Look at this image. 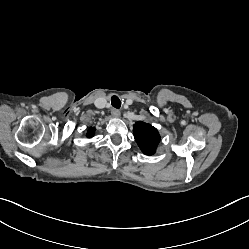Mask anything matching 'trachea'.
Here are the masks:
<instances>
[{
	"label": "trachea",
	"instance_id": "3493384b",
	"mask_svg": "<svg viewBox=\"0 0 249 249\" xmlns=\"http://www.w3.org/2000/svg\"><path fill=\"white\" fill-rule=\"evenodd\" d=\"M111 104H112L113 107L119 109L120 106H121V101L117 96H112Z\"/></svg>",
	"mask_w": 249,
	"mask_h": 249
}]
</instances>
